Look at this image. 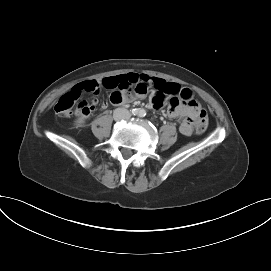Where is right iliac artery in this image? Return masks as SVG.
I'll list each match as a JSON object with an SVG mask.
<instances>
[{"instance_id":"obj_1","label":"right iliac artery","mask_w":271,"mask_h":271,"mask_svg":"<svg viewBox=\"0 0 271 271\" xmlns=\"http://www.w3.org/2000/svg\"><path fill=\"white\" fill-rule=\"evenodd\" d=\"M130 113H131L132 115H138L139 109H132V110H130Z\"/></svg>"}]
</instances>
